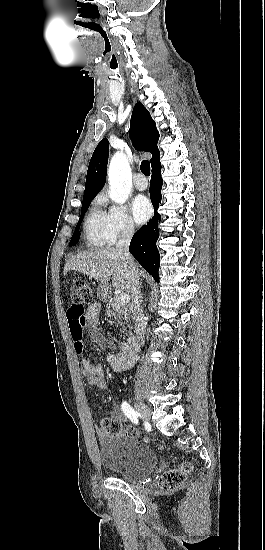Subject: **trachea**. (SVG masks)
I'll list each match as a JSON object with an SVG mask.
<instances>
[{"instance_id": "3493384b", "label": "trachea", "mask_w": 265, "mask_h": 550, "mask_svg": "<svg viewBox=\"0 0 265 550\" xmlns=\"http://www.w3.org/2000/svg\"><path fill=\"white\" fill-rule=\"evenodd\" d=\"M140 169L144 175L150 176V163L148 161L146 160L142 161L140 165Z\"/></svg>"}]
</instances>
